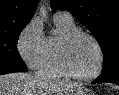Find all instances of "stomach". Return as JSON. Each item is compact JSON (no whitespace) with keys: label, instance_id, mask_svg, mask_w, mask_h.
Instances as JSON below:
<instances>
[{"label":"stomach","instance_id":"1","mask_svg":"<svg viewBox=\"0 0 119 95\" xmlns=\"http://www.w3.org/2000/svg\"><path fill=\"white\" fill-rule=\"evenodd\" d=\"M66 95H94V94L85 87H77L69 91Z\"/></svg>","mask_w":119,"mask_h":95}]
</instances>
